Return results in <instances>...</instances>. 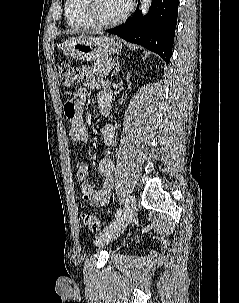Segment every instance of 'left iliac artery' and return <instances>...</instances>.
<instances>
[{"label": "left iliac artery", "instance_id": "1", "mask_svg": "<svg viewBox=\"0 0 239 303\" xmlns=\"http://www.w3.org/2000/svg\"><path fill=\"white\" fill-rule=\"evenodd\" d=\"M121 216H122V210H121V208H119L115 214L114 221L109 224V227H111L117 220H119ZM106 229H108V226L106 228H104V230H106Z\"/></svg>", "mask_w": 239, "mask_h": 303}]
</instances>
